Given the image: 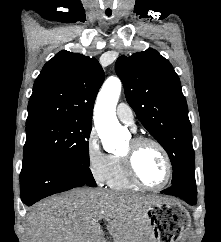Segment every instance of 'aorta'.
Here are the masks:
<instances>
[{"label": "aorta", "mask_w": 221, "mask_h": 242, "mask_svg": "<svg viewBox=\"0 0 221 242\" xmlns=\"http://www.w3.org/2000/svg\"><path fill=\"white\" fill-rule=\"evenodd\" d=\"M122 83L117 77H109L103 84L95 105V127L108 152H114L125 142L126 131L116 117V106Z\"/></svg>", "instance_id": "762f6f07"}]
</instances>
